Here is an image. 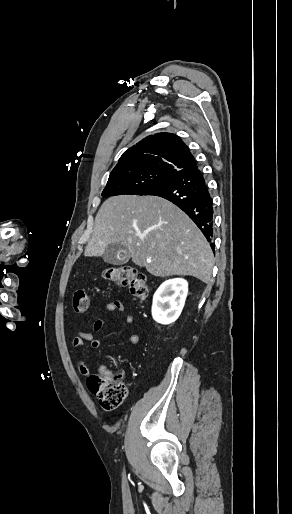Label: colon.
Returning a JSON list of instances; mask_svg holds the SVG:
<instances>
[{
  "label": "colon",
  "instance_id": "5ec220e1",
  "mask_svg": "<svg viewBox=\"0 0 292 514\" xmlns=\"http://www.w3.org/2000/svg\"><path fill=\"white\" fill-rule=\"evenodd\" d=\"M139 268L128 266L112 267L105 275L107 280L117 286L130 287L133 297L145 300L148 297V284L143 275L138 274ZM76 313L86 314L90 310V301L83 289H77L73 298ZM88 386L95 395L97 402L104 409L114 408L124 402L127 397V388L118 373L106 371L101 374L89 376Z\"/></svg>",
  "mask_w": 292,
  "mask_h": 514
}]
</instances>
